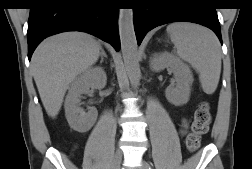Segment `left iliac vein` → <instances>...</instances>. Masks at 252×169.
<instances>
[{"label":"left iliac vein","instance_id":"4c4485c4","mask_svg":"<svg viewBox=\"0 0 252 169\" xmlns=\"http://www.w3.org/2000/svg\"><path fill=\"white\" fill-rule=\"evenodd\" d=\"M140 169H148V164L145 161H141Z\"/></svg>","mask_w":252,"mask_h":169}]
</instances>
